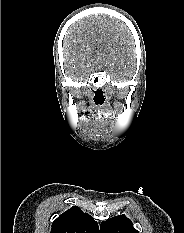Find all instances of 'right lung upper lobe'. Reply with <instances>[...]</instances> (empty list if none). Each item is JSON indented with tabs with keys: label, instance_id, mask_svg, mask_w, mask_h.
I'll return each mask as SVG.
<instances>
[{
	"label": "right lung upper lobe",
	"instance_id": "obj_1",
	"mask_svg": "<svg viewBox=\"0 0 184 233\" xmlns=\"http://www.w3.org/2000/svg\"><path fill=\"white\" fill-rule=\"evenodd\" d=\"M50 233H100L97 222L74 206L53 221Z\"/></svg>",
	"mask_w": 184,
	"mask_h": 233
}]
</instances>
